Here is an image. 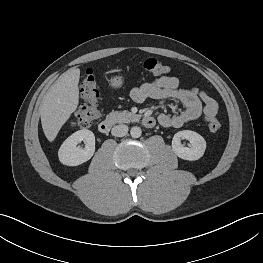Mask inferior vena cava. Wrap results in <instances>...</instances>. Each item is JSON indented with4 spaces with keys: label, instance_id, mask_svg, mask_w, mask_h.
<instances>
[{
    "label": "inferior vena cava",
    "instance_id": "602c4592",
    "mask_svg": "<svg viewBox=\"0 0 263 263\" xmlns=\"http://www.w3.org/2000/svg\"><path fill=\"white\" fill-rule=\"evenodd\" d=\"M127 133H128V126L124 124L116 125L111 130V134L116 137L125 136Z\"/></svg>",
    "mask_w": 263,
    "mask_h": 263
}]
</instances>
